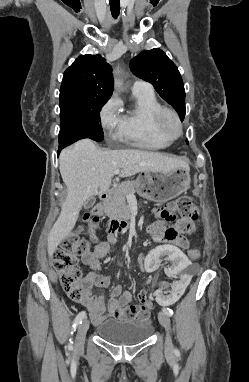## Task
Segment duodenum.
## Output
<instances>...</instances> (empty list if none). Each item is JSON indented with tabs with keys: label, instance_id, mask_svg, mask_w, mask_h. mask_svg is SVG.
I'll use <instances>...</instances> for the list:
<instances>
[{
	"label": "duodenum",
	"instance_id": "410a0bca",
	"mask_svg": "<svg viewBox=\"0 0 249 382\" xmlns=\"http://www.w3.org/2000/svg\"><path fill=\"white\" fill-rule=\"evenodd\" d=\"M109 196H110V190H106L103 193H101L100 199L102 202H106ZM132 228H134V225L130 221L124 220V219L113 220L110 222V225H109V230L111 232L124 233L131 230Z\"/></svg>",
	"mask_w": 249,
	"mask_h": 382
}]
</instances>
